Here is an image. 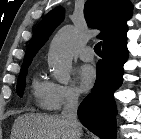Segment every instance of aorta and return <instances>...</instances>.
I'll use <instances>...</instances> for the list:
<instances>
[{"label": "aorta", "instance_id": "1", "mask_svg": "<svg viewBox=\"0 0 141 139\" xmlns=\"http://www.w3.org/2000/svg\"><path fill=\"white\" fill-rule=\"evenodd\" d=\"M76 40L74 28L67 25L61 28L51 41L48 64L55 79L60 83L66 84L70 81V70Z\"/></svg>", "mask_w": 141, "mask_h": 139}]
</instances>
